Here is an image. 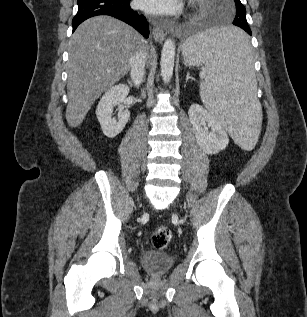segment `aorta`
<instances>
[{"label":"aorta","mask_w":307,"mask_h":317,"mask_svg":"<svg viewBox=\"0 0 307 317\" xmlns=\"http://www.w3.org/2000/svg\"><path fill=\"white\" fill-rule=\"evenodd\" d=\"M175 43L172 39L168 38L164 42L161 51V76L164 83H168L173 75L174 60H175Z\"/></svg>","instance_id":"762f6f07"}]
</instances>
